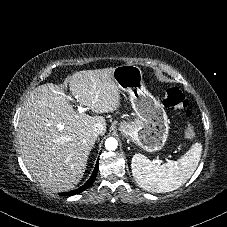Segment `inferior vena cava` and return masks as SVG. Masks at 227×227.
<instances>
[{"label": "inferior vena cava", "instance_id": "602c4592", "mask_svg": "<svg viewBox=\"0 0 227 227\" xmlns=\"http://www.w3.org/2000/svg\"><path fill=\"white\" fill-rule=\"evenodd\" d=\"M105 131H106V127H105L103 124H101V123H96V124L93 125L92 132H93L96 136H98V135H100V134H104Z\"/></svg>", "mask_w": 227, "mask_h": 227}]
</instances>
